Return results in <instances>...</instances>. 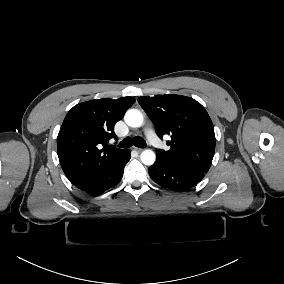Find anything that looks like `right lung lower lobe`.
Segmentation results:
<instances>
[{"label": "right lung lower lobe", "instance_id": "right-lung-lower-lobe-1", "mask_svg": "<svg viewBox=\"0 0 284 284\" xmlns=\"http://www.w3.org/2000/svg\"><path fill=\"white\" fill-rule=\"evenodd\" d=\"M129 159H130V151L127 150L123 154L121 159H119L98 179H96L94 182L84 187L82 190L85 191L86 193L97 195L116 186L120 182L123 176L124 167L126 163L129 161Z\"/></svg>", "mask_w": 284, "mask_h": 284}]
</instances>
